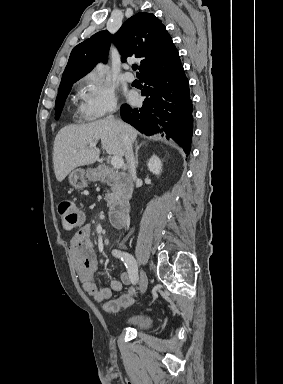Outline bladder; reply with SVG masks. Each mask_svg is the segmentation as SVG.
Segmentation results:
<instances>
[{"instance_id":"bladder-1","label":"bladder","mask_w":283,"mask_h":384,"mask_svg":"<svg viewBox=\"0 0 283 384\" xmlns=\"http://www.w3.org/2000/svg\"><path fill=\"white\" fill-rule=\"evenodd\" d=\"M121 326L123 328L149 332L154 327L153 313L150 310L137 311L134 314L125 317L121 322Z\"/></svg>"}]
</instances>
